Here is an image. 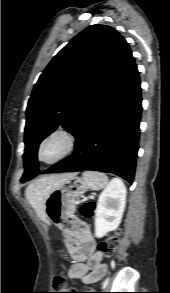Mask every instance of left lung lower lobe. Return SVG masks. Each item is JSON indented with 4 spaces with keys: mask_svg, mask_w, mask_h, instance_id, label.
Here are the masks:
<instances>
[{
    "mask_svg": "<svg viewBox=\"0 0 170 293\" xmlns=\"http://www.w3.org/2000/svg\"><path fill=\"white\" fill-rule=\"evenodd\" d=\"M139 72L131 55L75 136V152L41 174L95 170L133 182L142 111Z\"/></svg>",
    "mask_w": 170,
    "mask_h": 293,
    "instance_id": "left-lung-lower-lobe-1",
    "label": "left lung lower lobe"
}]
</instances>
